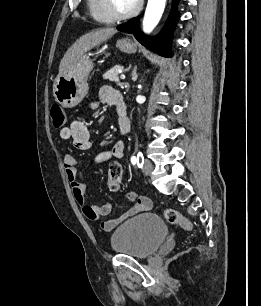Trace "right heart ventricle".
I'll use <instances>...</instances> for the list:
<instances>
[{
    "instance_id": "1",
    "label": "right heart ventricle",
    "mask_w": 261,
    "mask_h": 306,
    "mask_svg": "<svg viewBox=\"0 0 261 306\" xmlns=\"http://www.w3.org/2000/svg\"><path fill=\"white\" fill-rule=\"evenodd\" d=\"M90 16L97 22L108 24L113 19L106 13L102 0H86Z\"/></svg>"
}]
</instances>
